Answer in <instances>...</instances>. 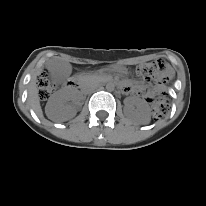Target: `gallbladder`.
Masks as SVG:
<instances>
[{
	"mask_svg": "<svg viewBox=\"0 0 206 206\" xmlns=\"http://www.w3.org/2000/svg\"><path fill=\"white\" fill-rule=\"evenodd\" d=\"M46 67L50 72L51 80L56 84H61L72 72L70 63L56 58L47 61Z\"/></svg>",
	"mask_w": 206,
	"mask_h": 206,
	"instance_id": "1",
	"label": "gallbladder"
}]
</instances>
